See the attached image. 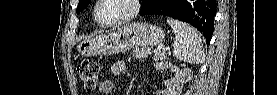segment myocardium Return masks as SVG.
Returning <instances> with one entry per match:
<instances>
[{
	"instance_id": "f54148a6",
	"label": "myocardium",
	"mask_w": 277,
	"mask_h": 95,
	"mask_svg": "<svg viewBox=\"0 0 277 95\" xmlns=\"http://www.w3.org/2000/svg\"><path fill=\"white\" fill-rule=\"evenodd\" d=\"M105 1L106 0H98L93 9L94 20L102 27H114L116 25L125 23L134 18L139 13L141 8L140 0H121L127 5V11L120 17L109 21H103L99 16L98 9Z\"/></svg>"
}]
</instances>
